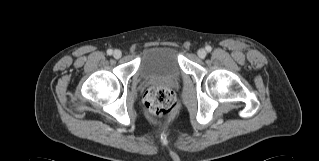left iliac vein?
Listing matches in <instances>:
<instances>
[{"mask_svg": "<svg viewBox=\"0 0 319 161\" xmlns=\"http://www.w3.org/2000/svg\"><path fill=\"white\" fill-rule=\"evenodd\" d=\"M197 54H198V56H199L200 58H205L206 55H207V52H206L205 49H199L198 52H197Z\"/></svg>", "mask_w": 319, "mask_h": 161, "instance_id": "4c4485c4", "label": "left iliac vein"}]
</instances>
